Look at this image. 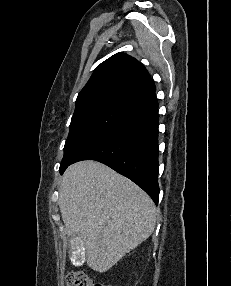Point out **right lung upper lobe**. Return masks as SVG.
Wrapping results in <instances>:
<instances>
[{"mask_svg": "<svg viewBox=\"0 0 231 286\" xmlns=\"http://www.w3.org/2000/svg\"><path fill=\"white\" fill-rule=\"evenodd\" d=\"M154 91L155 86L145 67L135 58L117 53L95 69L78 94L75 111L103 102L135 109Z\"/></svg>", "mask_w": 231, "mask_h": 286, "instance_id": "cb5924a9", "label": "right lung upper lobe"}]
</instances>
